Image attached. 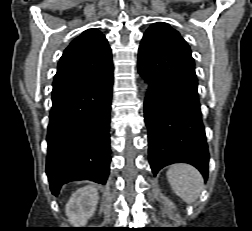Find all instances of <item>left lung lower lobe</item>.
Segmentation results:
<instances>
[{
	"instance_id": "0a47b994",
	"label": "left lung lower lobe",
	"mask_w": 252,
	"mask_h": 231,
	"mask_svg": "<svg viewBox=\"0 0 252 231\" xmlns=\"http://www.w3.org/2000/svg\"><path fill=\"white\" fill-rule=\"evenodd\" d=\"M138 71L149 82L144 114L152 172L183 162L206 180L209 153L191 53L172 45L142 44Z\"/></svg>"
}]
</instances>
